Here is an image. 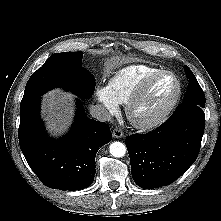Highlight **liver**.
I'll use <instances>...</instances> for the list:
<instances>
[{
    "instance_id": "liver-1",
    "label": "liver",
    "mask_w": 221,
    "mask_h": 221,
    "mask_svg": "<svg viewBox=\"0 0 221 221\" xmlns=\"http://www.w3.org/2000/svg\"><path fill=\"white\" fill-rule=\"evenodd\" d=\"M42 113L50 131L54 134L64 132L73 114L71 94L58 89L46 93L42 102Z\"/></svg>"
}]
</instances>
